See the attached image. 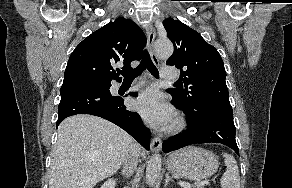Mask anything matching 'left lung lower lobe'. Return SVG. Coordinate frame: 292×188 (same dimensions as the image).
I'll return each instance as SVG.
<instances>
[{"label":"left lung lower lobe","mask_w":292,"mask_h":188,"mask_svg":"<svg viewBox=\"0 0 292 188\" xmlns=\"http://www.w3.org/2000/svg\"><path fill=\"white\" fill-rule=\"evenodd\" d=\"M172 103L181 109L175 102L172 101ZM187 118L189 120L188 129L179 134L178 137L163 142L164 153L197 143H221L234 149L239 154L235 140L236 130L232 107H213L207 110L198 120H193L188 116Z\"/></svg>","instance_id":"0a47b994"}]
</instances>
